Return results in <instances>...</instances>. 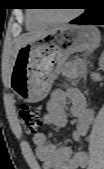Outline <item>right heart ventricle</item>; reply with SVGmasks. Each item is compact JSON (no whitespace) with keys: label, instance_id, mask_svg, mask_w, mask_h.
Returning <instances> with one entry per match:
<instances>
[{"label":"right heart ventricle","instance_id":"right-heart-ventricle-1","mask_svg":"<svg viewBox=\"0 0 104 169\" xmlns=\"http://www.w3.org/2000/svg\"><path fill=\"white\" fill-rule=\"evenodd\" d=\"M26 26L29 30H40L46 26L36 13L29 12L26 15Z\"/></svg>","mask_w":104,"mask_h":169}]
</instances>
